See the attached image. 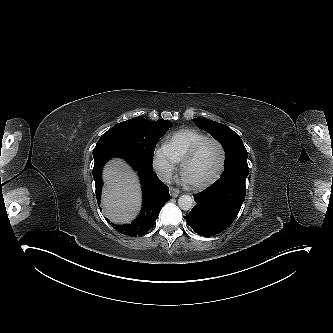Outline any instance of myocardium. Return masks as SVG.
<instances>
[{
	"instance_id": "myocardium-1",
	"label": "myocardium",
	"mask_w": 333,
	"mask_h": 333,
	"mask_svg": "<svg viewBox=\"0 0 333 333\" xmlns=\"http://www.w3.org/2000/svg\"><path fill=\"white\" fill-rule=\"evenodd\" d=\"M212 141L214 143L217 144V146L219 147L220 150V163H219V167L217 169V171L215 172V174L210 177L209 179L202 181V182H198V183H191L190 185L195 188V189H203L206 188L210 185H212L213 183H215L221 176L224 168H225V163H226V152H225V148L222 144V142L212 136H207L203 139H201L200 141H198L196 144H194L190 150L185 154V156L183 157V159L181 160V170L184 173L186 164L192 160L197 153L199 152L200 148L207 142Z\"/></svg>"
}]
</instances>
